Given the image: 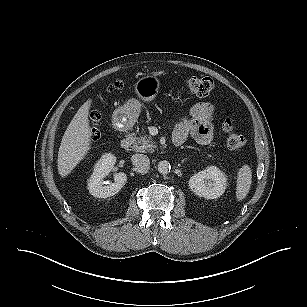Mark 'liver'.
Segmentation results:
<instances>
[{
	"mask_svg": "<svg viewBox=\"0 0 307 307\" xmlns=\"http://www.w3.org/2000/svg\"><path fill=\"white\" fill-rule=\"evenodd\" d=\"M92 99H88L77 111L68 125L58 152V172L65 177L84 159L91 145L89 109Z\"/></svg>",
	"mask_w": 307,
	"mask_h": 307,
	"instance_id": "6515ba94",
	"label": "liver"
}]
</instances>
